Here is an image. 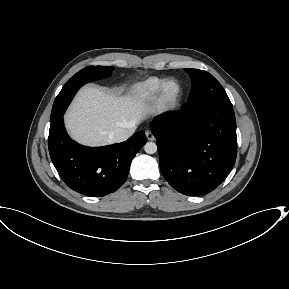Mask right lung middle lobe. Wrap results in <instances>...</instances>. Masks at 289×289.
Wrapping results in <instances>:
<instances>
[{"label":"right lung middle lobe","instance_id":"right-lung-middle-lobe-1","mask_svg":"<svg viewBox=\"0 0 289 289\" xmlns=\"http://www.w3.org/2000/svg\"><path fill=\"white\" fill-rule=\"evenodd\" d=\"M113 70L114 67L89 66L71 77L54 101L50 123L55 122L64 114L75 93L81 86L94 80L109 77Z\"/></svg>","mask_w":289,"mask_h":289}]
</instances>
